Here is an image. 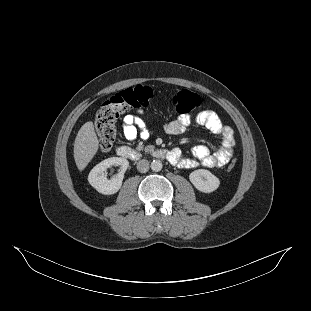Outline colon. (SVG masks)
<instances>
[{"mask_svg":"<svg viewBox=\"0 0 311 311\" xmlns=\"http://www.w3.org/2000/svg\"><path fill=\"white\" fill-rule=\"evenodd\" d=\"M154 98V92L150 87L137 85L105 101L96 112L94 120L101 151L108 152L113 146L116 138V119L128 110L149 107ZM168 101L175 112L184 115L200 107L202 98L195 92L183 89L174 93ZM236 163L237 160L232 159L227 166L228 171L233 170Z\"/></svg>","mask_w":311,"mask_h":311,"instance_id":"obj_1","label":"colon"}]
</instances>
